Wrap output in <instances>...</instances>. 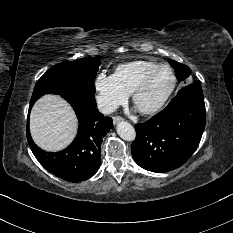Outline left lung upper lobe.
<instances>
[{
    "label": "left lung upper lobe",
    "instance_id": "5c2ea615",
    "mask_svg": "<svg viewBox=\"0 0 233 233\" xmlns=\"http://www.w3.org/2000/svg\"><path fill=\"white\" fill-rule=\"evenodd\" d=\"M169 63L171 64V66L174 68L175 70V73H176V76H177V79L179 81H183V80H186L190 73H191V70L188 66L186 65H183L179 62H176V61H173V60H169ZM185 88V87H184ZM182 88L179 93L184 89Z\"/></svg>",
    "mask_w": 233,
    "mask_h": 233
}]
</instances>
